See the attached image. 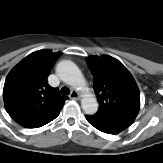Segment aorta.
I'll use <instances>...</instances> for the list:
<instances>
[{"label":"aorta","instance_id":"1","mask_svg":"<svg viewBox=\"0 0 163 163\" xmlns=\"http://www.w3.org/2000/svg\"><path fill=\"white\" fill-rule=\"evenodd\" d=\"M57 74L61 80L68 85L86 92L85 79L75 63L69 60L61 61L56 68ZM81 106L83 111L88 115H93L98 110V102L92 94L85 93L83 95Z\"/></svg>","mask_w":163,"mask_h":163}]
</instances>
